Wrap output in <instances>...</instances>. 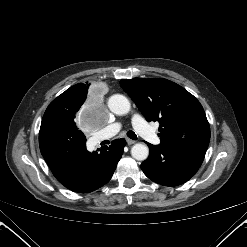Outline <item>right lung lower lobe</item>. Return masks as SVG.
<instances>
[{
	"label": "right lung lower lobe",
	"mask_w": 247,
	"mask_h": 247,
	"mask_svg": "<svg viewBox=\"0 0 247 247\" xmlns=\"http://www.w3.org/2000/svg\"><path fill=\"white\" fill-rule=\"evenodd\" d=\"M86 138L75 123L43 117L40 151L53 175L69 190L86 193L106 184L122 157L125 140L117 139L100 153L86 149Z\"/></svg>",
	"instance_id": "right-lung-lower-lobe-1"
}]
</instances>
